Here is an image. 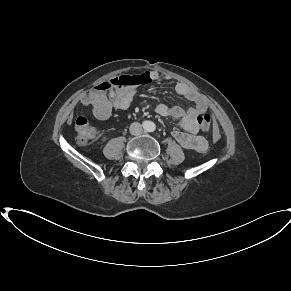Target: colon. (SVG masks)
<instances>
[{
    "mask_svg": "<svg viewBox=\"0 0 291 291\" xmlns=\"http://www.w3.org/2000/svg\"><path fill=\"white\" fill-rule=\"evenodd\" d=\"M140 80L137 76L121 75L110 80L101 82L94 87L92 91L96 99L106 97V93L113 88L129 87ZM86 106H91L90 101H83ZM198 124L202 131L209 132L212 129L213 120L209 114H204L198 117ZM76 140L81 145L91 143L97 136L96 129L89 123L84 115L77 117L75 121Z\"/></svg>",
    "mask_w": 291,
    "mask_h": 291,
    "instance_id": "obj_1",
    "label": "colon"
}]
</instances>
